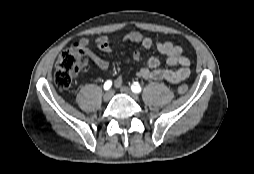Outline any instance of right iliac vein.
<instances>
[{
    "label": "right iliac vein",
    "instance_id": "right-iliac-vein-1",
    "mask_svg": "<svg viewBox=\"0 0 254 174\" xmlns=\"http://www.w3.org/2000/svg\"><path fill=\"white\" fill-rule=\"evenodd\" d=\"M113 97V91H107L105 94H104V100L105 101H109L111 98Z\"/></svg>",
    "mask_w": 254,
    "mask_h": 174
}]
</instances>
